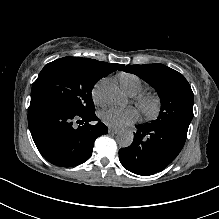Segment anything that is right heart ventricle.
I'll list each match as a JSON object with an SVG mask.
<instances>
[{
    "instance_id": "obj_1",
    "label": "right heart ventricle",
    "mask_w": 219,
    "mask_h": 219,
    "mask_svg": "<svg viewBox=\"0 0 219 219\" xmlns=\"http://www.w3.org/2000/svg\"><path fill=\"white\" fill-rule=\"evenodd\" d=\"M117 78L121 88L131 96L138 94L144 88L143 80L136 74L121 72Z\"/></svg>"
}]
</instances>
